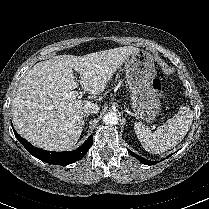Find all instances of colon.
<instances>
[{
    "instance_id": "1",
    "label": "colon",
    "mask_w": 209,
    "mask_h": 209,
    "mask_svg": "<svg viewBox=\"0 0 209 209\" xmlns=\"http://www.w3.org/2000/svg\"><path fill=\"white\" fill-rule=\"evenodd\" d=\"M152 86H153V89L158 93V94H161L162 91H161V88H162V85H161V81L157 78H155L152 82Z\"/></svg>"
}]
</instances>
